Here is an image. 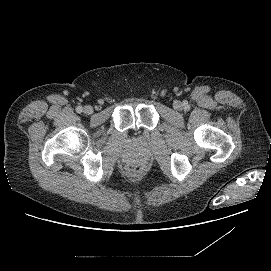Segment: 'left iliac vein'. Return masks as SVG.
<instances>
[{
    "instance_id": "obj_1",
    "label": "left iliac vein",
    "mask_w": 271,
    "mask_h": 271,
    "mask_svg": "<svg viewBox=\"0 0 271 271\" xmlns=\"http://www.w3.org/2000/svg\"><path fill=\"white\" fill-rule=\"evenodd\" d=\"M174 108L179 110V109L181 108V103L178 102V101L175 102V103H174Z\"/></svg>"
}]
</instances>
